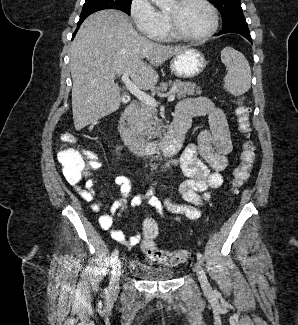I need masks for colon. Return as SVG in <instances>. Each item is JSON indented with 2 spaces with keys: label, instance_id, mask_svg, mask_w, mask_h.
Segmentation results:
<instances>
[{
  "label": "colon",
  "instance_id": "obj_1",
  "mask_svg": "<svg viewBox=\"0 0 298 325\" xmlns=\"http://www.w3.org/2000/svg\"><path fill=\"white\" fill-rule=\"evenodd\" d=\"M235 115L239 130L249 135L251 126L249 122V109L241 101L235 109ZM73 137L64 136V142L70 144ZM59 162L62 166L65 179L72 185L80 183L83 178L91 175L101 166L100 160L91 152L79 151L70 146H63L58 153ZM256 161L255 146L253 141L247 140L243 143L240 154V162L233 172L231 189L237 192L248 180ZM159 233L157 222L153 218H147L143 223V238L141 240V250L152 261L164 265L175 266L183 263L187 255L183 251H167L157 247L156 238Z\"/></svg>",
  "mask_w": 298,
  "mask_h": 325
}]
</instances>
